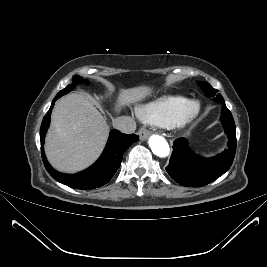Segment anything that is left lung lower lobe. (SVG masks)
I'll return each mask as SVG.
<instances>
[{"label":"left lung lower lobe","instance_id":"obj_1","mask_svg":"<svg viewBox=\"0 0 267 267\" xmlns=\"http://www.w3.org/2000/svg\"><path fill=\"white\" fill-rule=\"evenodd\" d=\"M205 93L209 95V90ZM221 121L228 135V149L212 158H202L193 154L184 138L173 142V152L166 171L169 176L187 187L204 186L223 175L232 165L236 151L235 123L232 114L225 106L221 109Z\"/></svg>","mask_w":267,"mask_h":267}]
</instances>
